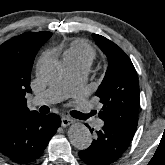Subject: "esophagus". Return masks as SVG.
<instances>
[{
	"mask_svg": "<svg viewBox=\"0 0 165 165\" xmlns=\"http://www.w3.org/2000/svg\"><path fill=\"white\" fill-rule=\"evenodd\" d=\"M61 123L63 127H67L69 126L71 123H73V120L69 117L63 116L61 118Z\"/></svg>",
	"mask_w": 165,
	"mask_h": 165,
	"instance_id": "34e87169",
	"label": "esophagus"
}]
</instances>
